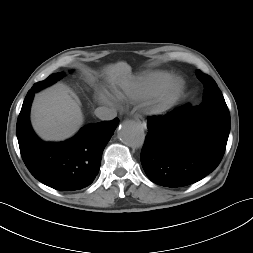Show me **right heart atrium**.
<instances>
[{"label":"right heart atrium","mask_w":253,"mask_h":253,"mask_svg":"<svg viewBox=\"0 0 253 253\" xmlns=\"http://www.w3.org/2000/svg\"><path fill=\"white\" fill-rule=\"evenodd\" d=\"M98 100L103 103V104H107V105H111L112 104V99L110 98V96L105 93V92H100L98 94Z\"/></svg>","instance_id":"d8ad5b80"}]
</instances>
